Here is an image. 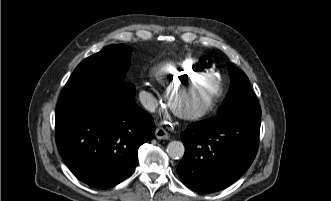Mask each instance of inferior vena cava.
<instances>
[{
  "label": "inferior vena cava",
  "mask_w": 331,
  "mask_h": 201,
  "mask_svg": "<svg viewBox=\"0 0 331 201\" xmlns=\"http://www.w3.org/2000/svg\"><path fill=\"white\" fill-rule=\"evenodd\" d=\"M140 101L142 105L149 110L150 112H154L157 107V100L148 92L140 93Z\"/></svg>",
  "instance_id": "inferior-vena-cava-1"
}]
</instances>
